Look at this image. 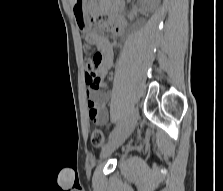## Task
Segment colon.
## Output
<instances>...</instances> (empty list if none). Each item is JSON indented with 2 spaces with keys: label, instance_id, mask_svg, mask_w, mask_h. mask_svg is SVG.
Listing matches in <instances>:
<instances>
[{
  "label": "colon",
  "instance_id": "obj_1",
  "mask_svg": "<svg viewBox=\"0 0 223 191\" xmlns=\"http://www.w3.org/2000/svg\"><path fill=\"white\" fill-rule=\"evenodd\" d=\"M100 56L94 54L84 61L85 79L89 86L96 87L100 84V75L98 72ZM91 145L95 148H102L106 141V136L101 130H93L90 137Z\"/></svg>",
  "mask_w": 223,
  "mask_h": 191
}]
</instances>
